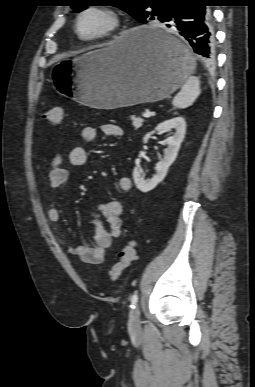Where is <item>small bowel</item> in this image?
<instances>
[{"label": "small bowel", "mask_w": 255, "mask_h": 387, "mask_svg": "<svg viewBox=\"0 0 255 387\" xmlns=\"http://www.w3.org/2000/svg\"><path fill=\"white\" fill-rule=\"evenodd\" d=\"M100 131L106 136L122 137L124 130L114 123H106L100 126ZM98 131L95 127L87 126L81 130V140L84 143H92L97 138ZM88 155L83 147H74L68 154V162L73 166L85 165ZM64 158L56 155L51 163L48 173L49 184L52 188H59L66 184L70 178V172L63 167ZM132 188L131 178L122 176L118 179V189L127 193ZM48 220L56 224L60 220L58 208L51 207L48 211ZM108 225V228L105 226ZM123 225V205L117 199H111L98 206L94 218V234L90 245L70 247L68 252L86 264H99L103 261L105 252L111 247L113 240L121 235Z\"/></svg>", "instance_id": "1"}]
</instances>
